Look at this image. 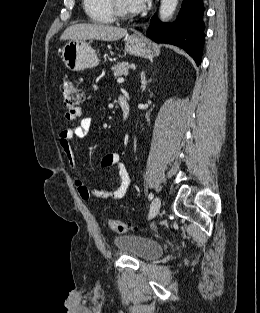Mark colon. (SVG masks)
<instances>
[{"mask_svg":"<svg viewBox=\"0 0 260 313\" xmlns=\"http://www.w3.org/2000/svg\"><path fill=\"white\" fill-rule=\"evenodd\" d=\"M61 92L63 95V103L69 111L79 109L85 102V95L78 85L69 79L61 82ZM107 224L109 228L116 233H125L131 229V224L116 219H108Z\"/></svg>","mask_w":260,"mask_h":313,"instance_id":"colon-1","label":"colon"}]
</instances>
